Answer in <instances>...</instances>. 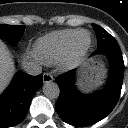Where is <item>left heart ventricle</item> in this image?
Here are the masks:
<instances>
[{
  "mask_svg": "<svg viewBox=\"0 0 128 128\" xmlns=\"http://www.w3.org/2000/svg\"><path fill=\"white\" fill-rule=\"evenodd\" d=\"M79 42L82 43V44L85 43L86 42V36L85 35H81L80 39H79Z\"/></svg>",
  "mask_w": 128,
  "mask_h": 128,
  "instance_id": "left-heart-ventricle-1",
  "label": "left heart ventricle"
}]
</instances>
